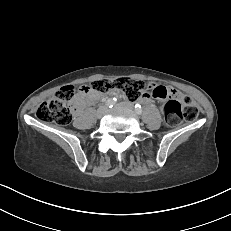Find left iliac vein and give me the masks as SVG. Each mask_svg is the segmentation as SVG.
<instances>
[{
    "label": "left iliac vein",
    "instance_id": "obj_1",
    "mask_svg": "<svg viewBox=\"0 0 231 231\" xmlns=\"http://www.w3.org/2000/svg\"><path fill=\"white\" fill-rule=\"evenodd\" d=\"M117 106L124 107V108L130 109V110L134 109V106L131 102L119 103V104H117Z\"/></svg>",
    "mask_w": 231,
    "mask_h": 231
}]
</instances>
